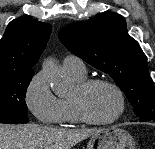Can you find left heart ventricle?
<instances>
[{"label":"left heart ventricle","instance_id":"left-heart-ventricle-1","mask_svg":"<svg viewBox=\"0 0 155 149\" xmlns=\"http://www.w3.org/2000/svg\"><path fill=\"white\" fill-rule=\"evenodd\" d=\"M72 99H79L88 115L100 121L114 117L119 108L117 94L106 85L94 86L84 94H81L76 87Z\"/></svg>","mask_w":155,"mask_h":149}]
</instances>
